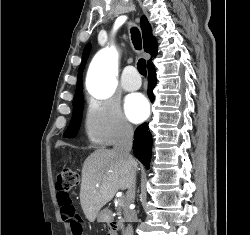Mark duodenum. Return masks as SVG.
Instances as JSON below:
<instances>
[{
    "instance_id": "1",
    "label": "duodenum",
    "mask_w": 250,
    "mask_h": 235,
    "mask_svg": "<svg viewBox=\"0 0 250 235\" xmlns=\"http://www.w3.org/2000/svg\"><path fill=\"white\" fill-rule=\"evenodd\" d=\"M108 227L110 235H117V230H118L117 221H115L114 219L109 220Z\"/></svg>"
}]
</instances>
